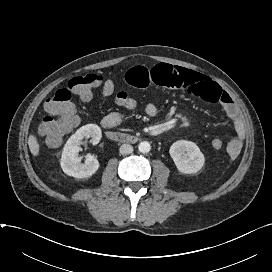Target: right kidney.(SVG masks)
Returning a JSON list of instances; mask_svg holds the SVG:
<instances>
[{
	"label": "right kidney",
	"mask_w": 272,
	"mask_h": 272,
	"mask_svg": "<svg viewBox=\"0 0 272 272\" xmlns=\"http://www.w3.org/2000/svg\"><path fill=\"white\" fill-rule=\"evenodd\" d=\"M91 137V143H99L102 132L98 125L87 124L79 128L66 142L62 157L61 168L65 174L78 179L92 176L99 168V162L93 155H87L85 163L79 157L80 144L83 138Z\"/></svg>",
	"instance_id": "obj_1"
}]
</instances>
